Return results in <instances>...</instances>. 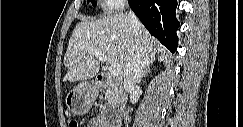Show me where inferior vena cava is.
Instances as JSON below:
<instances>
[{"label":"inferior vena cava","mask_w":243,"mask_h":127,"mask_svg":"<svg viewBox=\"0 0 243 127\" xmlns=\"http://www.w3.org/2000/svg\"><path fill=\"white\" fill-rule=\"evenodd\" d=\"M128 16L132 21L135 32L138 33L140 30V23L131 9L129 10ZM142 51L143 49L140 45L139 37L136 35L132 44L131 57L123 81V87L128 92L135 89L136 83L138 82L144 68Z\"/></svg>","instance_id":"1"}]
</instances>
